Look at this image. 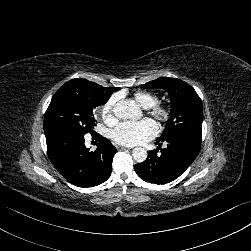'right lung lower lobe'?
Instances as JSON below:
<instances>
[{"instance_id": "right-lung-lower-lobe-1", "label": "right lung lower lobe", "mask_w": 251, "mask_h": 251, "mask_svg": "<svg viewBox=\"0 0 251 251\" xmlns=\"http://www.w3.org/2000/svg\"><path fill=\"white\" fill-rule=\"evenodd\" d=\"M44 132L49 159L67 181L86 188L109 178L117 150L108 139L94 135L98 140L97 149L89 151L84 144V135L62 128Z\"/></svg>"}]
</instances>
